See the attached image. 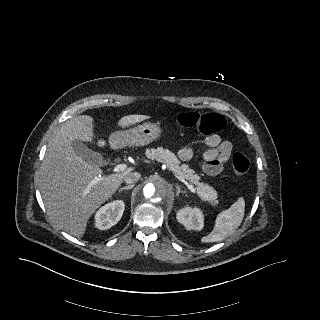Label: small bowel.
Here are the masks:
<instances>
[{
	"mask_svg": "<svg viewBox=\"0 0 320 320\" xmlns=\"http://www.w3.org/2000/svg\"><path fill=\"white\" fill-rule=\"evenodd\" d=\"M206 150L203 152V170L209 176H217L222 173L225 164L233 153V144L228 140H222L218 134H211L204 140ZM179 158L188 162L194 157V150L183 147L178 152Z\"/></svg>",
	"mask_w": 320,
	"mask_h": 320,
	"instance_id": "1",
	"label": "small bowel"
}]
</instances>
